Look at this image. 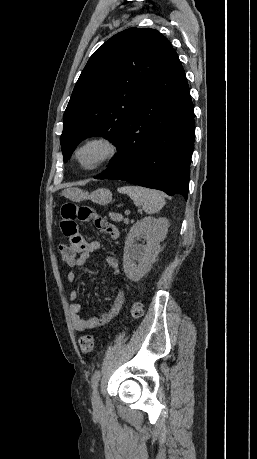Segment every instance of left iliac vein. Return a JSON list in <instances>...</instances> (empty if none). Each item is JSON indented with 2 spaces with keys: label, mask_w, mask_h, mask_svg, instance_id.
I'll list each match as a JSON object with an SVG mask.
<instances>
[{
  "label": "left iliac vein",
  "mask_w": 257,
  "mask_h": 459,
  "mask_svg": "<svg viewBox=\"0 0 257 459\" xmlns=\"http://www.w3.org/2000/svg\"><path fill=\"white\" fill-rule=\"evenodd\" d=\"M92 404L95 409H99L101 407V399L99 396V392L97 389H94L92 394Z\"/></svg>",
  "instance_id": "obj_1"
}]
</instances>
